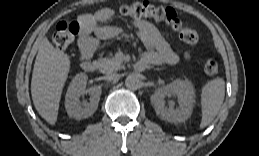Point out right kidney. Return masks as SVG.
I'll use <instances>...</instances> for the list:
<instances>
[{
  "label": "right kidney",
  "instance_id": "1",
  "mask_svg": "<svg viewBox=\"0 0 259 156\" xmlns=\"http://www.w3.org/2000/svg\"><path fill=\"white\" fill-rule=\"evenodd\" d=\"M88 76L84 73L77 74L71 81L66 97L65 108L72 118L82 119L91 116L97 109L101 96V88L93 86L86 90ZM88 93L89 102L80 103L79 97Z\"/></svg>",
  "mask_w": 259,
  "mask_h": 156
}]
</instances>
